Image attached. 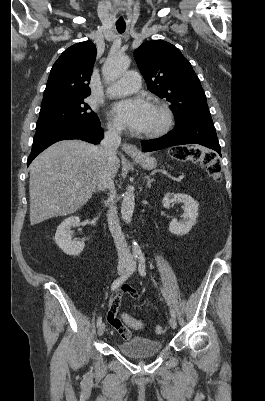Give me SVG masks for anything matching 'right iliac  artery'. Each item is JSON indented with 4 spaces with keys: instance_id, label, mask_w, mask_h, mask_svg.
I'll list each match as a JSON object with an SVG mask.
<instances>
[{
    "instance_id": "1",
    "label": "right iliac artery",
    "mask_w": 265,
    "mask_h": 401,
    "mask_svg": "<svg viewBox=\"0 0 265 401\" xmlns=\"http://www.w3.org/2000/svg\"><path fill=\"white\" fill-rule=\"evenodd\" d=\"M134 263L136 264V258L134 259ZM135 266H132L124 275L121 277L117 278L114 280V282L111 285V290H116L118 287H120L134 272ZM102 323V317H98L97 319V326H100Z\"/></svg>"
}]
</instances>
